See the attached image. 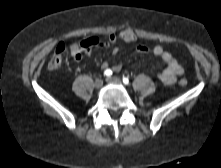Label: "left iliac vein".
Returning <instances> with one entry per match:
<instances>
[{
    "label": "left iliac vein",
    "instance_id": "4c4485c4",
    "mask_svg": "<svg viewBox=\"0 0 221 168\" xmlns=\"http://www.w3.org/2000/svg\"><path fill=\"white\" fill-rule=\"evenodd\" d=\"M106 81L109 82V83L117 84V85H121L122 84L121 80L119 78H117V77H108L106 79Z\"/></svg>",
    "mask_w": 221,
    "mask_h": 168
}]
</instances>
